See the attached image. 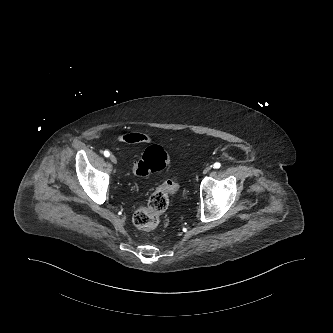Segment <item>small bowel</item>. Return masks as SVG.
I'll use <instances>...</instances> for the list:
<instances>
[{"label": "small bowel", "mask_w": 333, "mask_h": 333, "mask_svg": "<svg viewBox=\"0 0 333 333\" xmlns=\"http://www.w3.org/2000/svg\"><path fill=\"white\" fill-rule=\"evenodd\" d=\"M118 141L126 144H140L151 142V138L144 133L130 132L118 136Z\"/></svg>", "instance_id": "c3829d8e"}]
</instances>
